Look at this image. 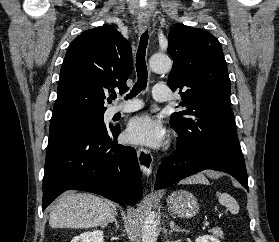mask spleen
Returning a JSON list of instances; mask_svg holds the SVG:
<instances>
[{
	"mask_svg": "<svg viewBox=\"0 0 279 242\" xmlns=\"http://www.w3.org/2000/svg\"><path fill=\"white\" fill-rule=\"evenodd\" d=\"M216 195L218 197L219 203L226 206L231 213L237 214L239 212V205L231 195L221 192H217Z\"/></svg>",
	"mask_w": 279,
	"mask_h": 242,
	"instance_id": "1",
	"label": "spleen"
}]
</instances>
